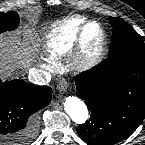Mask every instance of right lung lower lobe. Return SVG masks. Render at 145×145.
Instances as JSON below:
<instances>
[{"label":"right lung lower lobe","instance_id":"obj_1","mask_svg":"<svg viewBox=\"0 0 145 145\" xmlns=\"http://www.w3.org/2000/svg\"><path fill=\"white\" fill-rule=\"evenodd\" d=\"M51 98L52 90L47 86L0 80V141L23 144L31 140L36 132L34 115Z\"/></svg>","mask_w":145,"mask_h":145}]
</instances>
